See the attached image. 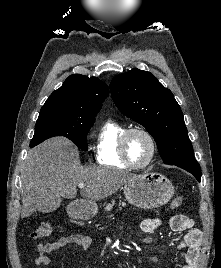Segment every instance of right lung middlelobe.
Returning <instances> with one entry per match:
<instances>
[{"instance_id": "1", "label": "right lung middle lobe", "mask_w": 221, "mask_h": 268, "mask_svg": "<svg viewBox=\"0 0 221 268\" xmlns=\"http://www.w3.org/2000/svg\"><path fill=\"white\" fill-rule=\"evenodd\" d=\"M94 119L80 118L63 112H40L30 147L54 136H64L79 148L88 150L87 133Z\"/></svg>"}]
</instances>
